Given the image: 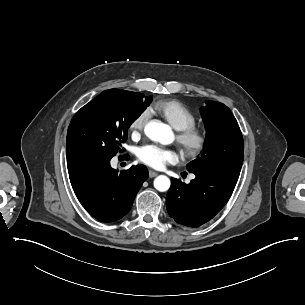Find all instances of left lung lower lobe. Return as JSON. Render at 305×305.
I'll return each instance as SVG.
<instances>
[{
	"label": "left lung lower lobe",
	"instance_id": "obj_1",
	"mask_svg": "<svg viewBox=\"0 0 305 305\" xmlns=\"http://www.w3.org/2000/svg\"><path fill=\"white\" fill-rule=\"evenodd\" d=\"M196 178L189 184L171 179L166 196L168 214L177 223L199 227L211 220L231 197L239 172L190 171Z\"/></svg>",
	"mask_w": 305,
	"mask_h": 305
}]
</instances>
